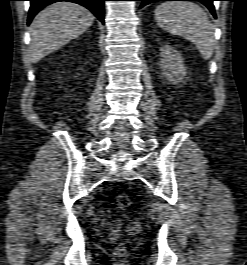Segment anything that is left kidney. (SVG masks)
<instances>
[{"label": "left kidney", "mask_w": 247, "mask_h": 265, "mask_svg": "<svg viewBox=\"0 0 247 265\" xmlns=\"http://www.w3.org/2000/svg\"><path fill=\"white\" fill-rule=\"evenodd\" d=\"M160 56V68L165 78L173 84L182 82L186 75V69L181 54L166 44L161 47Z\"/></svg>", "instance_id": "1"}]
</instances>
